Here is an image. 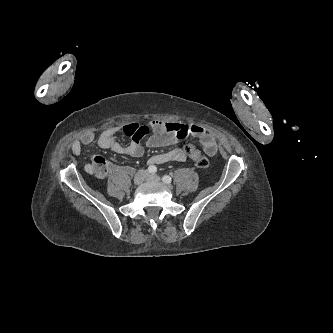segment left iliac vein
<instances>
[{
    "label": "left iliac vein",
    "instance_id": "1",
    "mask_svg": "<svg viewBox=\"0 0 333 333\" xmlns=\"http://www.w3.org/2000/svg\"><path fill=\"white\" fill-rule=\"evenodd\" d=\"M147 180L148 181H155V182H159L161 179L158 175L156 174H148L147 175Z\"/></svg>",
    "mask_w": 333,
    "mask_h": 333
}]
</instances>
